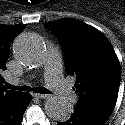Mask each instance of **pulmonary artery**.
Returning <instances> with one entry per match:
<instances>
[{
    "mask_svg": "<svg viewBox=\"0 0 125 125\" xmlns=\"http://www.w3.org/2000/svg\"><path fill=\"white\" fill-rule=\"evenodd\" d=\"M44 63L45 77L49 87L53 89L60 98L66 101H74L76 99V93L61 76L59 57L49 52L44 57ZM11 82L15 83L16 81L12 80Z\"/></svg>",
    "mask_w": 125,
    "mask_h": 125,
    "instance_id": "e3ab8cb5",
    "label": "pulmonary artery"
}]
</instances>
